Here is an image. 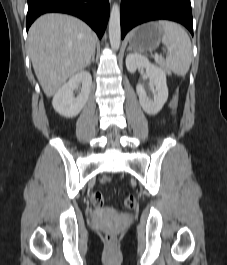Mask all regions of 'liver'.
<instances>
[{
	"label": "liver",
	"instance_id": "6515ba94",
	"mask_svg": "<svg viewBox=\"0 0 227 265\" xmlns=\"http://www.w3.org/2000/svg\"><path fill=\"white\" fill-rule=\"evenodd\" d=\"M28 49L37 79L46 96L51 97L91 61L95 37L82 20L50 13L30 27Z\"/></svg>",
	"mask_w": 227,
	"mask_h": 265
}]
</instances>
